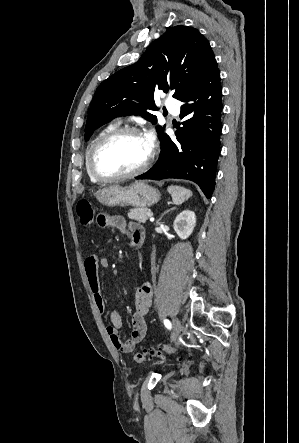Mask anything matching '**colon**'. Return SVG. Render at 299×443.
I'll list each match as a JSON object with an SVG mask.
<instances>
[{
  "mask_svg": "<svg viewBox=\"0 0 299 443\" xmlns=\"http://www.w3.org/2000/svg\"><path fill=\"white\" fill-rule=\"evenodd\" d=\"M77 214L79 217L80 226L83 229H90L95 222L94 209L91 203L87 200H80L77 204ZM178 350L176 348L170 347L169 345H164L159 348H150L144 351L135 353L134 361L137 363H143L151 357H159L164 354H177Z\"/></svg>",
  "mask_w": 299,
  "mask_h": 443,
  "instance_id": "colon-1",
  "label": "colon"
}]
</instances>
